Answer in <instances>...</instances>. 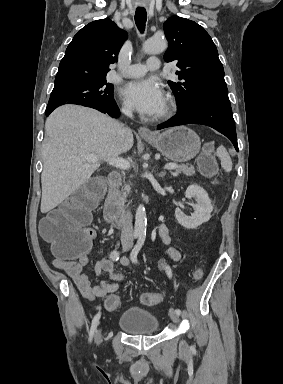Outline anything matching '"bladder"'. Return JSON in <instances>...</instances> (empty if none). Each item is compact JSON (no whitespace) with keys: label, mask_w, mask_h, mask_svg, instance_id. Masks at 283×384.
<instances>
[{"label":"bladder","mask_w":283,"mask_h":384,"mask_svg":"<svg viewBox=\"0 0 283 384\" xmlns=\"http://www.w3.org/2000/svg\"><path fill=\"white\" fill-rule=\"evenodd\" d=\"M161 322L154 311L147 308L129 306L121 313L117 326L129 336L156 335Z\"/></svg>","instance_id":"obj_1"}]
</instances>
